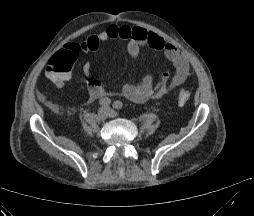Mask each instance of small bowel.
Here are the masks:
<instances>
[{
    "instance_id": "obj_1",
    "label": "small bowel",
    "mask_w": 254,
    "mask_h": 216,
    "mask_svg": "<svg viewBox=\"0 0 254 216\" xmlns=\"http://www.w3.org/2000/svg\"><path fill=\"white\" fill-rule=\"evenodd\" d=\"M112 39L127 41V52L132 58H138L143 46L161 51L175 69L172 76H170L168 70L165 71L158 82L154 81L152 75H146L140 83L128 82L124 84L122 93L129 100L142 103L149 99H161L186 81L190 70L186 57L158 34L139 26L110 25L100 33L90 35L82 43H67L62 49V53L68 57H73L77 53L76 46L83 52H96L101 42ZM52 59L53 57L50 58L48 65L52 62ZM82 69L88 77L89 100L102 99L110 94L99 79L92 74L90 62H86ZM47 76L57 88L64 87L66 82L72 78L70 72L64 75H50L47 71Z\"/></svg>"
}]
</instances>
